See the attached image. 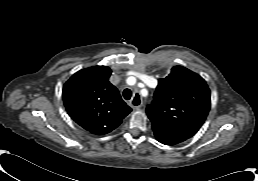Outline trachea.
<instances>
[{
  "instance_id": "obj_1",
  "label": "trachea",
  "mask_w": 258,
  "mask_h": 181,
  "mask_svg": "<svg viewBox=\"0 0 258 181\" xmlns=\"http://www.w3.org/2000/svg\"><path fill=\"white\" fill-rule=\"evenodd\" d=\"M132 96V92L130 89H125L123 91V97L126 99V100H129ZM135 104H138V103H135Z\"/></svg>"
}]
</instances>
